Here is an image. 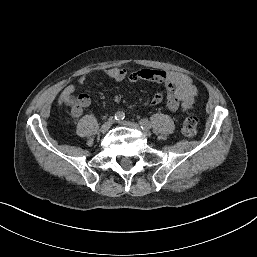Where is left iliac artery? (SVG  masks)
Masks as SVG:
<instances>
[{"mask_svg": "<svg viewBox=\"0 0 257 257\" xmlns=\"http://www.w3.org/2000/svg\"><path fill=\"white\" fill-rule=\"evenodd\" d=\"M140 125H141L142 129H145V128L149 129V128H151L150 122L148 120H146V119H142L140 121Z\"/></svg>", "mask_w": 257, "mask_h": 257, "instance_id": "left-iliac-artery-1", "label": "left iliac artery"}]
</instances>
